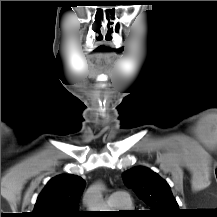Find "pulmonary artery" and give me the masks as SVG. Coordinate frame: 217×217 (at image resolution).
<instances>
[{
    "label": "pulmonary artery",
    "instance_id": "obj_1",
    "mask_svg": "<svg viewBox=\"0 0 217 217\" xmlns=\"http://www.w3.org/2000/svg\"><path fill=\"white\" fill-rule=\"evenodd\" d=\"M107 201L109 205L114 208H122L123 206L128 205L131 202L128 193L123 190L111 193Z\"/></svg>",
    "mask_w": 217,
    "mask_h": 217
}]
</instances>
